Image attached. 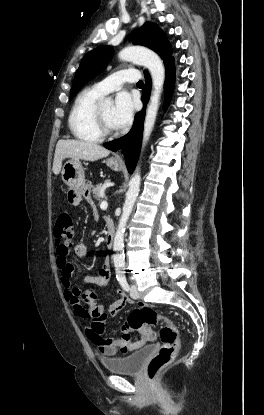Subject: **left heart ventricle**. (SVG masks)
I'll list each match as a JSON object with an SVG mask.
<instances>
[{"mask_svg":"<svg viewBox=\"0 0 264 415\" xmlns=\"http://www.w3.org/2000/svg\"><path fill=\"white\" fill-rule=\"evenodd\" d=\"M112 107L111 106H101V114L104 118V121L110 131H116V127L112 120Z\"/></svg>","mask_w":264,"mask_h":415,"instance_id":"b2bd125f","label":"left heart ventricle"}]
</instances>
